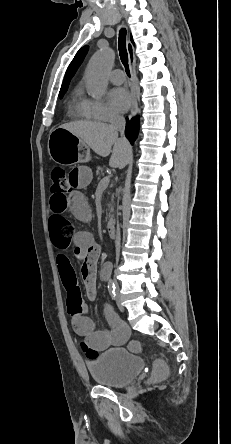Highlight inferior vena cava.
<instances>
[{"instance_id": "1", "label": "inferior vena cava", "mask_w": 231, "mask_h": 444, "mask_svg": "<svg viewBox=\"0 0 231 444\" xmlns=\"http://www.w3.org/2000/svg\"><path fill=\"white\" fill-rule=\"evenodd\" d=\"M110 123H111L110 124L111 128L114 129L115 131L120 132L121 135H122V138L125 139V137H124V129H125V119H124V117L119 115L118 113H114L111 116ZM121 221H122L121 217L118 215L116 217V223L118 225L117 228H116V231H117L116 235L118 236L117 240H116L117 258L119 256V250H120V235H121V231L123 230L122 226H121L122 225Z\"/></svg>"}]
</instances>
